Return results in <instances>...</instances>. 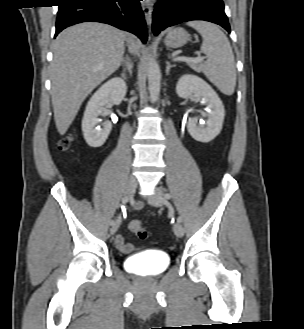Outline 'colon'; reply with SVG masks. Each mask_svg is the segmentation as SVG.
Listing matches in <instances>:
<instances>
[{
    "label": "colon",
    "mask_w": 304,
    "mask_h": 329,
    "mask_svg": "<svg viewBox=\"0 0 304 329\" xmlns=\"http://www.w3.org/2000/svg\"><path fill=\"white\" fill-rule=\"evenodd\" d=\"M72 138L70 136H67L63 139H61L58 143L57 150L59 152H68L71 148ZM129 230L136 234L138 238L145 239L147 238V231L143 227L142 223L139 220H131L129 222Z\"/></svg>",
    "instance_id": "5ec220e1"
}]
</instances>
